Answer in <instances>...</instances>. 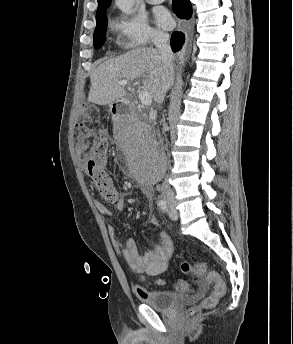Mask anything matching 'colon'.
I'll return each mask as SVG.
<instances>
[{
  "mask_svg": "<svg viewBox=\"0 0 293 344\" xmlns=\"http://www.w3.org/2000/svg\"><path fill=\"white\" fill-rule=\"evenodd\" d=\"M79 129H82V127H79ZM108 152V139H99L87 156L86 167L89 178L98 189L102 198L111 203H117L120 196L106 168ZM182 270L185 273H190L197 277H205L208 281L214 283L213 291L198 306L189 309V316L194 317L200 310L213 308L218 300L226 293V285L219 274L215 272L207 273V267L204 263H196L194 265L183 263ZM182 283L178 282V286L182 287Z\"/></svg>",
  "mask_w": 293,
  "mask_h": 344,
  "instance_id": "1",
  "label": "colon"
}]
</instances>
